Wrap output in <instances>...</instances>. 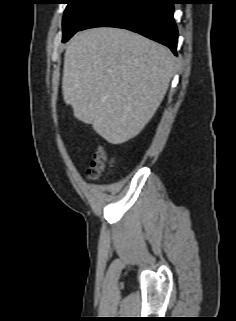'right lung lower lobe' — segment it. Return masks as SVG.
Wrapping results in <instances>:
<instances>
[{
  "mask_svg": "<svg viewBox=\"0 0 236 321\" xmlns=\"http://www.w3.org/2000/svg\"><path fill=\"white\" fill-rule=\"evenodd\" d=\"M172 0H108L78 29L118 27L157 41L176 55L178 31Z\"/></svg>",
  "mask_w": 236,
  "mask_h": 321,
  "instance_id": "right-lung-lower-lobe-1",
  "label": "right lung lower lobe"
}]
</instances>
